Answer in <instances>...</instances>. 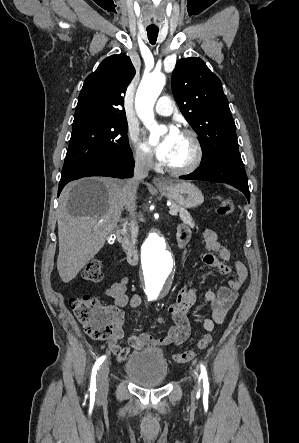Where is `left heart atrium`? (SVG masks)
<instances>
[{
    "label": "left heart atrium",
    "instance_id": "39dd6f15",
    "mask_svg": "<svg viewBox=\"0 0 299 443\" xmlns=\"http://www.w3.org/2000/svg\"><path fill=\"white\" fill-rule=\"evenodd\" d=\"M179 136V132L176 128L171 127L168 134L163 138V140L152 148L157 159L163 163L168 158L171 147Z\"/></svg>",
    "mask_w": 299,
    "mask_h": 443
}]
</instances>
